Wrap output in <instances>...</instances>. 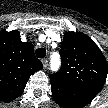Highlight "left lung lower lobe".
<instances>
[{"label": "left lung lower lobe", "mask_w": 108, "mask_h": 108, "mask_svg": "<svg viewBox=\"0 0 108 108\" xmlns=\"http://www.w3.org/2000/svg\"><path fill=\"white\" fill-rule=\"evenodd\" d=\"M52 97L63 108H81L99 92L95 87H84L61 80H51Z\"/></svg>", "instance_id": "obj_1"}]
</instances>
